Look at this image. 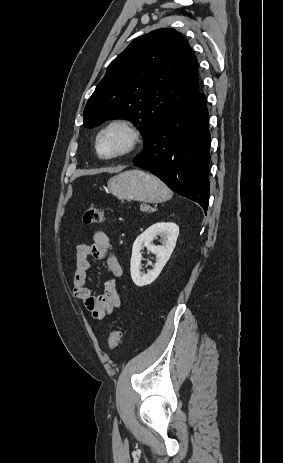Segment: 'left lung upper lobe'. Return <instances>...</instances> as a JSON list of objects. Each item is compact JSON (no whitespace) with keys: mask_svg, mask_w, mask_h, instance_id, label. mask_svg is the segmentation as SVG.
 Listing matches in <instances>:
<instances>
[{"mask_svg":"<svg viewBox=\"0 0 283 463\" xmlns=\"http://www.w3.org/2000/svg\"><path fill=\"white\" fill-rule=\"evenodd\" d=\"M199 92L197 59L174 29L135 39L108 66L84 109L83 124L133 120L145 143L157 127Z\"/></svg>","mask_w":283,"mask_h":463,"instance_id":"1","label":"left lung upper lobe"}]
</instances>
